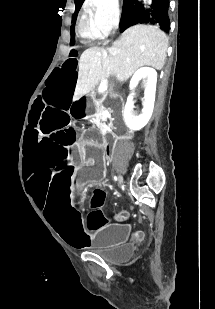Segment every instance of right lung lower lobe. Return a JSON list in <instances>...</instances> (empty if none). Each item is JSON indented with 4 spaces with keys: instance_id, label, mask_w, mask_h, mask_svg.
I'll return each instance as SVG.
<instances>
[{
    "instance_id": "obj_1",
    "label": "right lung lower lobe",
    "mask_w": 215,
    "mask_h": 309,
    "mask_svg": "<svg viewBox=\"0 0 215 309\" xmlns=\"http://www.w3.org/2000/svg\"><path fill=\"white\" fill-rule=\"evenodd\" d=\"M169 0H132L123 8L120 21V30L137 23L158 25L164 31L170 29L168 18Z\"/></svg>"
}]
</instances>
